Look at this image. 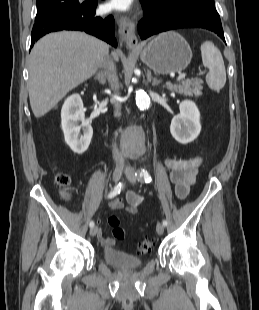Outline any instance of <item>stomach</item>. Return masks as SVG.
Returning a JSON list of instances; mask_svg holds the SVG:
<instances>
[{"label": "stomach", "mask_w": 259, "mask_h": 310, "mask_svg": "<svg viewBox=\"0 0 259 310\" xmlns=\"http://www.w3.org/2000/svg\"><path fill=\"white\" fill-rule=\"evenodd\" d=\"M138 51L142 62L160 74L181 72L192 59L187 41L172 31L158 35Z\"/></svg>", "instance_id": "stomach-1"}]
</instances>
